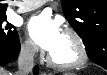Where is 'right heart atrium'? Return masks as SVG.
Returning <instances> with one entry per match:
<instances>
[{"instance_id": "1", "label": "right heart atrium", "mask_w": 107, "mask_h": 75, "mask_svg": "<svg viewBox=\"0 0 107 75\" xmlns=\"http://www.w3.org/2000/svg\"><path fill=\"white\" fill-rule=\"evenodd\" d=\"M21 53L27 58H32L37 53V48L34 42L30 39H24L21 43Z\"/></svg>"}]
</instances>
